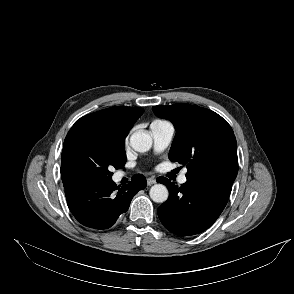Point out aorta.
<instances>
[{
    "label": "aorta",
    "instance_id": "762f6f07",
    "mask_svg": "<svg viewBox=\"0 0 294 294\" xmlns=\"http://www.w3.org/2000/svg\"><path fill=\"white\" fill-rule=\"evenodd\" d=\"M130 145L137 152H146L152 146V138L148 133L135 132L130 137ZM150 197L156 203H163L168 198V189L163 184H155L150 189Z\"/></svg>",
    "mask_w": 294,
    "mask_h": 294
}]
</instances>
